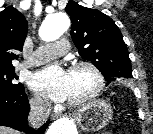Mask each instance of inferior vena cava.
Returning a JSON list of instances; mask_svg holds the SVG:
<instances>
[{"mask_svg": "<svg viewBox=\"0 0 153 134\" xmlns=\"http://www.w3.org/2000/svg\"><path fill=\"white\" fill-rule=\"evenodd\" d=\"M50 102L45 98H34L30 101L29 124L33 128H39L48 118Z\"/></svg>", "mask_w": 153, "mask_h": 134, "instance_id": "1", "label": "inferior vena cava"}]
</instances>
